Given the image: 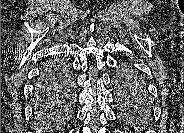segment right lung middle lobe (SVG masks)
<instances>
[{
	"instance_id": "1",
	"label": "right lung middle lobe",
	"mask_w": 184,
	"mask_h": 133,
	"mask_svg": "<svg viewBox=\"0 0 184 133\" xmlns=\"http://www.w3.org/2000/svg\"><path fill=\"white\" fill-rule=\"evenodd\" d=\"M70 77L68 65L61 61L50 60L41 69L34 90V107L40 116L49 115L63 105L62 94L69 89Z\"/></svg>"
}]
</instances>
